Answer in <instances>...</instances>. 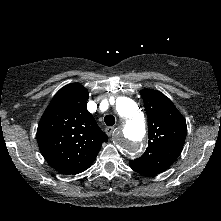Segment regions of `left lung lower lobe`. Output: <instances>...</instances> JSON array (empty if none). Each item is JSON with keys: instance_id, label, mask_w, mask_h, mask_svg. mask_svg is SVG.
I'll use <instances>...</instances> for the list:
<instances>
[{"instance_id": "left-lung-lower-lobe-1", "label": "left lung lower lobe", "mask_w": 221, "mask_h": 221, "mask_svg": "<svg viewBox=\"0 0 221 221\" xmlns=\"http://www.w3.org/2000/svg\"><path fill=\"white\" fill-rule=\"evenodd\" d=\"M130 167H131L134 171H136V172H138V173H141V174H144V175H153V174H151L150 172H148L145 168L140 167V166H138V165H135V164H133L132 162H130Z\"/></svg>"}]
</instances>
